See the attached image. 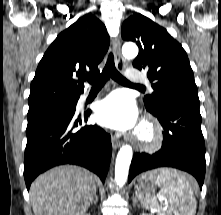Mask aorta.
Returning a JSON list of instances; mask_svg holds the SVG:
<instances>
[{
    "instance_id": "1",
    "label": "aorta",
    "mask_w": 221,
    "mask_h": 215,
    "mask_svg": "<svg viewBox=\"0 0 221 215\" xmlns=\"http://www.w3.org/2000/svg\"><path fill=\"white\" fill-rule=\"evenodd\" d=\"M122 54L125 59H134L138 55L136 44L128 42L122 47ZM133 156L132 147L124 145L118 152L115 164V181L118 186H123L128 178L129 167Z\"/></svg>"
}]
</instances>
